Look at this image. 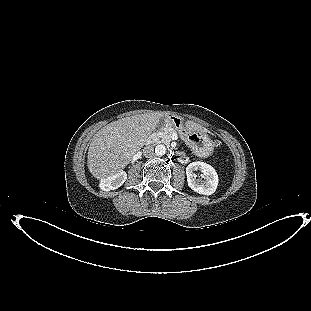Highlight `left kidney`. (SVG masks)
I'll return each mask as SVG.
<instances>
[{
  "mask_svg": "<svg viewBox=\"0 0 311 311\" xmlns=\"http://www.w3.org/2000/svg\"><path fill=\"white\" fill-rule=\"evenodd\" d=\"M200 170L204 180L196 179L194 172ZM188 186L195 192L202 195H212L219 182L215 169L204 162H192L186 168Z\"/></svg>",
  "mask_w": 311,
  "mask_h": 311,
  "instance_id": "obj_1",
  "label": "left kidney"
}]
</instances>
